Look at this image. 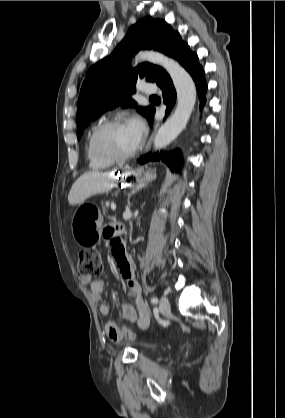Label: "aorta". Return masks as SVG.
I'll use <instances>...</instances> for the list:
<instances>
[{
	"label": "aorta",
	"instance_id": "obj_1",
	"mask_svg": "<svg viewBox=\"0 0 285 418\" xmlns=\"http://www.w3.org/2000/svg\"><path fill=\"white\" fill-rule=\"evenodd\" d=\"M136 58L166 69L176 89V109L154 138V148L161 149L171 143L186 127L196 102V87L193 79L182 66L159 52H141Z\"/></svg>",
	"mask_w": 285,
	"mask_h": 418
}]
</instances>
